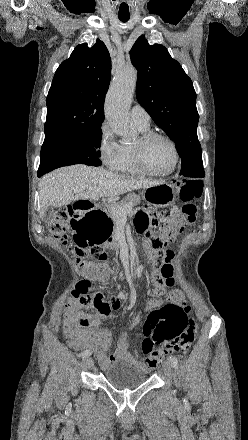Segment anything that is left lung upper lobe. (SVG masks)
I'll use <instances>...</instances> for the list:
<instances>
[{"label":"left lung upper lobe","mask_w":248,"mask_h":440,"mask_svg":"<svg viewBox=\"0 0 248 440\" xmlns=\"http://www.w3.org/2000/svg\"><path fill=\"white\" fill-rule=\"evenodd\" d=\"M130 57L138 70L137 100L174 140L182 158L180 175L203 177L201 145L197 137L199 115L191 79L164 46L150 45L144 35L136 40Z\"/></svg>","instance_id":"1"}]
</instances>
